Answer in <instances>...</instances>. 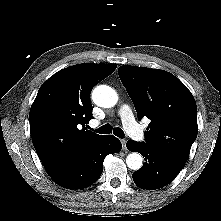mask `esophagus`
<instances>
[{"label":"esophagus","mask_w":221,"mask_h":221,"mask_svg":"<svg viewBox=\"0 0 221 221\" xmlns=\"http://www.w3.org/2000/svg\"><path fill=\"white\" fill-rule=\"evenodd\" d=\"M126 142H127V141H126L125 139H122V140H121V143H122V146H123V150H124V151L127 150V148H126Z\"/></svg>","instance_id":"1"}]
</instances>
